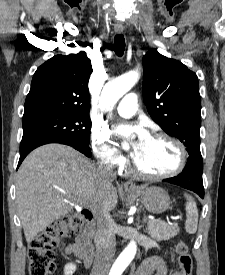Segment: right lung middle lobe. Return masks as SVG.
<instances>
[{"label":"right lung middle lobe","instance_id":"1","mask_svg":"<svg viewBox=\"0 0 225 275\" xmlns=\"http://www.w3.org/2000/svg\"><path fill=\"white\" fill-rule=\"evenodd\" d=\"M47 136L89 146L90 124L87 112H43L23 116V138Z\"/></svg>","mask_w":225,"mask_h":275}]
</instances>
